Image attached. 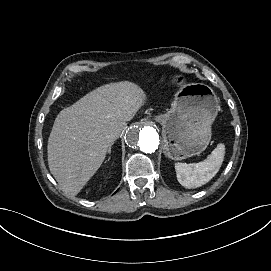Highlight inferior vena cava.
I'll return each instance as SVG.
<instances>
[{"label":"inferior vena cava","mask_w":271,"mask_h":271,"mask_svg":"<svg viewBox=\"0 0 271 271\" xmlns=\"http://www.w3.org/2000/svg\"><path fill=\"white\" fill-rule=\"evenodd\" d=\"M120 136V132H117V133H115V134H111L110 136H109V141H114V140H116L118 137Z\"/></svg>","instance_id":"obj_1"}]
</instances>
